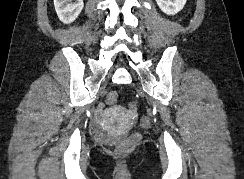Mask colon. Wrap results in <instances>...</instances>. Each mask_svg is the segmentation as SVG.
I'll use <instances>...</instances> for the list:
<instances>
[{
	"instance_id": "1",
	"label": "colon",
	"mask_w": 244,
	"mask_h": 179,
	"mask_svg": "<svg viewBox=\"0 0 244 179\" xmlns=\"http://www.w3.org/2000/svg\"><path fill=\"white\" fill-rule=\"evenodd\" d=\"M118 97V93H109L108 96H106V101L108 104H114ZM131 108L136 109L137 105L132 104ZM128 147H130V142H118V147H115V152H119L120 155H124L125 152H128Z\"/></svg>"
}]
</instances>
